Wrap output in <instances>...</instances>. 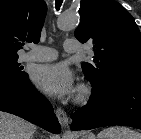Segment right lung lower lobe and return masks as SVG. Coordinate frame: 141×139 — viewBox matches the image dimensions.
I'll use <instances>...</instances> for the list:
<instances>
[{
  "mask_svg": "<svg viewBox=\"0 0 141 139\" xmlns=\"http://www.w3.org/2000/svg\"><path fill=\"white\" fill-rule=\"evenodd\" d=\"M0 111L17 115L55 134L61 131L52 105L28 77L18 82L0 83Z\"/></svg>",
  "mask_w": 141,
  "mask_h": 139,
  "instance_id": "obj_1",
  "label": "right lung lower lobe"
}]
</instances>
